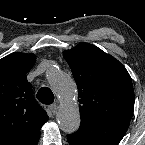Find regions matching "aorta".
Segmentation results:
<instances>
[{"label": "aorta", "instance_id": "762f6f07", "mask_svg": "<svg viewBox=\"0 0 145 145\" xmlns=\"http://www.w3.org/2000/svg\"><path fill=\"white\" fill-rule=\"evenodd\" d=\"M46 78L54 88L60 100L57 121L62 131L73 133L80 126V112L75 97L76 85L73 79L58 67L51 66L46 71Z\"/></svg>", "mask_w": 145, "mask_h": 145}]
</instances>
